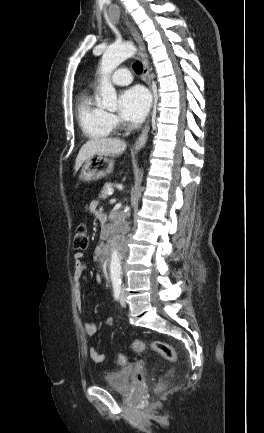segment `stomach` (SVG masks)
Listing matches in <instances>:
<instances>
[{
	"label": "stomach",
	"instance_id": "1",
	"mask_svg": "<svg viewBox=\"0 0 264 433\" xmlns=\"http://www.w3.org/2000/svg\"><path fill=\"white\" fill-rule=\"evenodd\" d=\"M113 169V159L103 155L92 156L83 165L79 179L85 182L96 181L109 175Z\"/></svg>",
	"mask_w": 264,
	"mask_h": 433
}]
</instances>
